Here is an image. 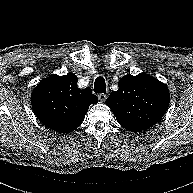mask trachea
<instances>
[{
  "label": "trachea",
  "mask_w": 193,
  "mask_h": 193,
  "mask_svg": "<svg viewBox=\"0 0 193 193\" xmlns=\"http://www.w3.org/2000/svg\"><path fill=\"white\" fill-rule=\"evenodd\" d=\"M95 93H106L105 79L101 76L97 77L94 82Z\"/></svg>",
  "instance_id": "trachea-1"
}]
</instances>
